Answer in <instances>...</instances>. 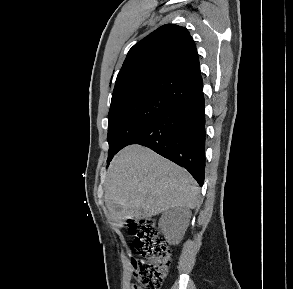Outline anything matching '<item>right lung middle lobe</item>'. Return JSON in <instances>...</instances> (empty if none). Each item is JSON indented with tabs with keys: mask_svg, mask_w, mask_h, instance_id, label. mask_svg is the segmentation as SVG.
Wrapping results in <instances>:
<instances>
[{
	"mask_svg": "<svg viewBox=\"0 0 293 289\" xmlns=\"http://www.w3.org/2000/svg\"><path fill=\"white\" fill-rule=\"evenodd\" d=\"M174 103L157 95L133 96L111 105L108 116L109 154L107 162L147 124Z\"/></svg>",
	"mask_w": 293,
	"mask_h": 289,
	"instance_id": "dd1d6c3e",
	"label": "right lung middle lobe"
}]
</instances>
